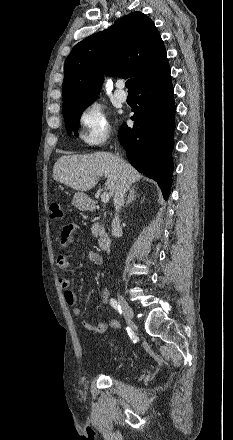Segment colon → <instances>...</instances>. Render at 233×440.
Instances as JSON below:
<instances>
[{
    "label": "colon",
    "mask_w": 233,
    "mask_h": 440,
    "mask_svg": "<svg viewBox=\"0 0 233 440\" xmlns=\"http://www.w3.org/2000/svg\"><path fill=\"white\" fill-rule=\"evenodd\" d=\"M50 216L52 219H61L63 217L62 206L59 202H53L50 205ZM110 345H112L109 342Z\"/></svg>",
    "instance_id": "1"
}]
</instances>
